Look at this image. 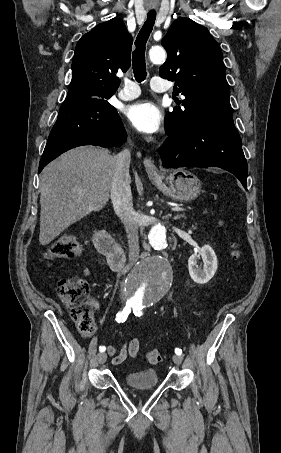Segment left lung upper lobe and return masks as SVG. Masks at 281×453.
I'll return each instance as SVG.
<instances>
[{
  "label": "left lung upper lobe",
  "instance_id": "left-lung-upper-lobe-1",
  "mask_svg": "<svg viewBox=\"0 0 281 453\" xmlns=\"http://www.w3.org/2000/svg\"><path fill=\"white\" fill-rule=\"evenodd\" d=\"M161 44L167 51V60L159 74L175 81V92L185 96L184 100L175 101L182 108L174 107L165 117L167 135L201 121L232 117L221 48L208 29L178 17Z\"/></svg>",
  "mask_w": 281,
  "mask_h": 453
}]
</instances>
